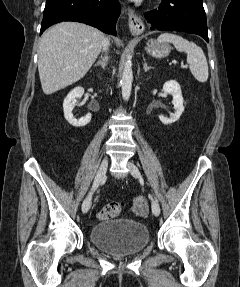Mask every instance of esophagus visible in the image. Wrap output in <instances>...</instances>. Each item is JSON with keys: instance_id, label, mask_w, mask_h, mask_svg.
Instances as JSON below:
<instances>
[{"instance_id": "1", "label": "esophagus", "mask_w": 240, "mask_h": 287, "mask_svg": "<svg viewBox=\"0 0 240 287\" xmlns=\"http://www.w3.org/2000/svg\"><path fill=\"white\" fill-rule=\"evenodd\" d=\"M126 13L128 17L130 32L132 33V35H140L145 28L141 17L138 16L131 8H128Z\"/></svg>"}]
</instances>
